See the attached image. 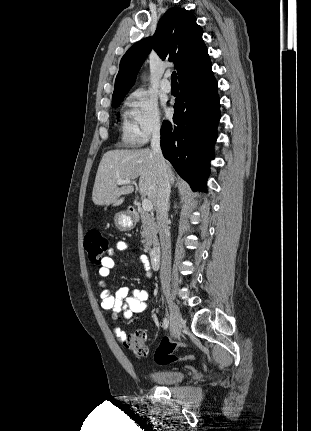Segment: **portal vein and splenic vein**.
Returning a JSON list of instances; mask_svg holds the SVG:
<instances>
[{"instance_id": "18ae733b", "label": "portal vein and splenic vein", "mask_w": 311, "mask_h": 431, "mask_svg": "<svg viewBox=\"0 0 311 431\" xmlns=\"http://www.w3.org/2000/svg\"><path fill=\"white\" fill-rule=\"evenodd\" d=\"M118 186H127V184H132L131 180H117ZM142 208L144 212H151L153 208L152 202L150 200H142Z\"/></svg>"}]
</instances>
